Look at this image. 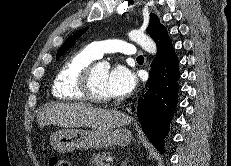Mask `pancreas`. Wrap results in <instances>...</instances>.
I'll return each mask as SVG.
<instances>
[{
    "label": "pancreas",
    "mask_w": 231,
    "mask_h": 166,
    "mask_svg": "<svg viewBox=\"0 0 231 166\" xmlns=\"http://www.w3.org/2000/svg\"><path fill=\"white\" fill-rule=\"evenodd\" d=\"M109 156H110L109 152L94 154L92 156L91 161L95 166H110L108 163L105 162Z\"/></svg>",
    "instance_id": "pancreas-1"
}]
</instances>
